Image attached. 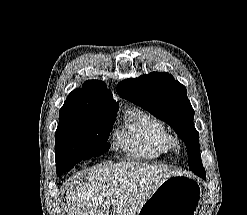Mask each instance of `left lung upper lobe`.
Here are the masks:
<instances>
[{
	"label": "left lung upper lobe",
	"instance_id": "5c2ea615",
	"mask_svg": "<svg viewBox=\"0 0 247 215\" xmlns=\"http://www.w3.org/2000/svg\"><path fill=\"white\" fill-rule=\"evenodd\" d=\"M120 97L146 109L169 124L184 140L189 169L203 168L199 133L194 128V110L184 85L166 72H152L121 81L116 88Z\"/></svg>",
	"mask_w": 247,
	"mask_h": 215
}]
</instances>
